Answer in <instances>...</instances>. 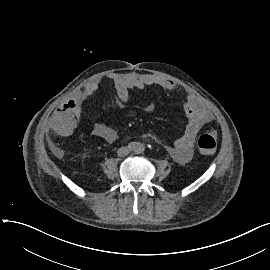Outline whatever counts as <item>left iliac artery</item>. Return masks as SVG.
Wrapping results in <instances>:
<instances>
[{"mask_svg":"<svg viewBox=\"0 0 270 270\" xmlns=\"http://www.w3.org/2000/svg\"><path fill=\"white\" fill-rule=\"evenodd\" d=\"M142 150H143L142 147H140V148H139V151H142Z\"/></svg>","mask_w":270,"mask_h":270,"instance_id":"left-iliac-artery-1","label":"left iliac artery"}]
</instances>
